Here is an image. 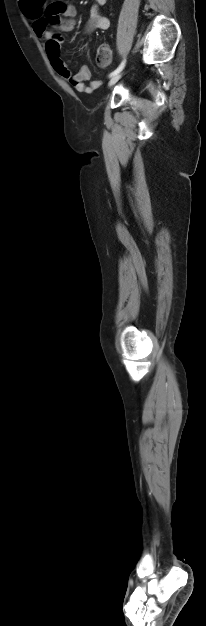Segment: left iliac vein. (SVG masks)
Instances as JSON below:
<instances>
[{"instance_id":"4c4485c4","label":"left iliac vein","mask_w":206,"mask_h":626,"mask_svg":"<svg viewBox=\"0 0 206 626\" xmlns=\"http://www.w3.org/2000/svg\"><path fill=\"white\" fill-rule=\"evenodd\" d=\"M121 76H122V73H121V72H119L118 74H116V75L112 76V78L110 79V81H109L108 85H109V86L114 85V84H115V83H116V82H117V81L121 78Z\"/></svg>"}]
</instances>
